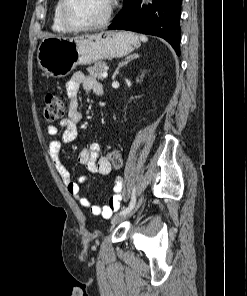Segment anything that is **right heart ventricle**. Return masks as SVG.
<instances>
[{"mask_svg": "<svg viewBox=\"0 0 247 296\" xmlns=\"http://www.w3.org/2000/svg\"><path fill=\"white\" fill-rule=\"evenodd\" d=\"M61 5L62 0H56L52 14V29L57 33H69L70 31L63 25L61 21Z\"/></svg>", "mask_w": 247, "mask_h": 296, "instance_id": "1", "label": "right heart ventricle"}]
</instances>
